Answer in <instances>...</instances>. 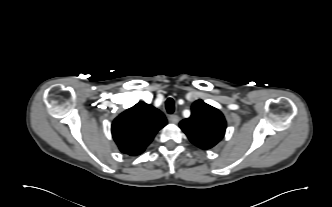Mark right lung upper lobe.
<instances>
[{"mask_svg": "<svg viewBox=\"0 0 332 207\" xmlns=\"http://www.w3.org/2000/svg\"><path fill=\"white\" fill-rule=\"evenodd\" d=\"M166 124V117L160 110L138 102L114 119L112 136L121 152L136 156L146 149Z\"/></svg>", "mask_w": 332, "mask_h": 207, "instance_id": "obj_1", "label": "right lung upper lobe"}]
</instances>
